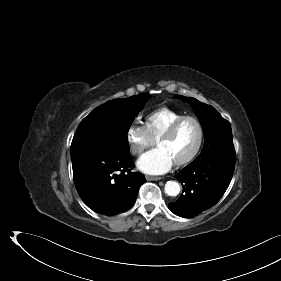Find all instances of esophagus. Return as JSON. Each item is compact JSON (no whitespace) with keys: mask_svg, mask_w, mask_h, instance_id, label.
<instances>
[{"mask_svg":"<svg viewBox=\"0 0 281 281\" xmlns=\"http://www.w3.org/2000/svg\"><path fill=\"white\" fill-rule=\"evenodd\" d=\"M146 179L148 181H158V180H161L162 178L161 177H157V176H146Z\"/></svg>","mask_w":281,"mask_h":281,"instance_id":"esophagus-1","label":"esophagus"}]
</instances>
